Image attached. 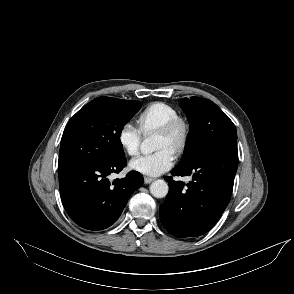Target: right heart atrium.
<instances>
[{
  "mask_svg": "<svg viewBox=\"0 0 294 294\" xmlns=\"http://www.w3.org/2000/svg\"><path fill=\"white\" fill-rule=\"evenodd\" d=\"M117 140L121 149L129 156L139 153L141 131L133 123H124L118 131Z\"/></svg>",
  "mask_w": 294,
  "mask_h": 294,
  "instance_id": "obj_1",
  "label": "right heart atrium"
}]
</instances>
